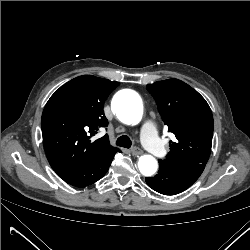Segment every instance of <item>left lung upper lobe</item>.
<instances>
[{
    "mask_svg": "<svg viewBox=\"0 0 250 250\" xmlns=\"http://www.w3.org/2000/svg\"><path fill=\"white\" fill-rule=\"evenodd\" d=\"M158 110L176 140L170 141V152L159 162L172 165L201 164L210 156L213 116L205 99L188 84L168 79L147 85Z\"/></svg>",
    "mask_w": 250,
    "mask_h": 250,
    "instance_id": "5c2ea615",
    "label": "left lung upper lobe"
}]
</instances>
